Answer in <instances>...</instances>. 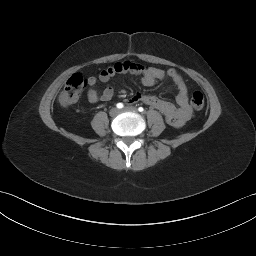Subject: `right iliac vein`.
I'll return each mask as SVG.
<instances>
[{
	"label": "right iliac vein",
	"mask_w": 256,
	"mask_h": 256,
	"mask_svg": "<svg viewBox=\"0 0 256 256\" xmlns=\"http://www.w3.org/2000/svg\"><path fill=\"white\" fill-rule=\"evenodd\" d=\"M110 116L115 117L119 114V110L117 108H112L109 112Z\"/></svg>",
	"instance_id": "63e3f726"
}]
</instances>
